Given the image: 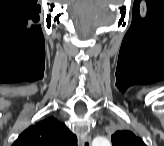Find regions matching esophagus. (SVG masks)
I'll return each instance as SVG.
<instances>
[{
    "label": "esophagus",
    "mask_w": 164,
    "mask_h": 146,
    "mask_svg": "<svg viewBox=\"0 0 164 146\" xmlns=\"http://www.w3.org/2000/svg\"><path fill=\"white\" fill-rule=\"evenodd\" d=\"M82 146H91V136H86L83 139Z\"/></svg>",
    "instance_id": "34e87169"
}]
</instances>
